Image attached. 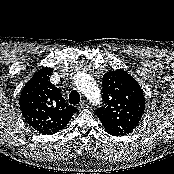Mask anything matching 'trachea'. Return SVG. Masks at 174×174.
Listing matches in <instances>:
<instances>
[{"mask_svg":"<svg viewBox=\"0 0 174 174\" xmlns=\"http://www.w3.org/2000/svg\"><path fill=\"white\" fill-rule=\"evenodd\" d=\"M80 102V94L74 90L69 94V103L73 105H77Z\"/></svg>","mask_w":174,"mask_h":174,"instance_id":"3493384b","label":"trachea"}]
</instances>
